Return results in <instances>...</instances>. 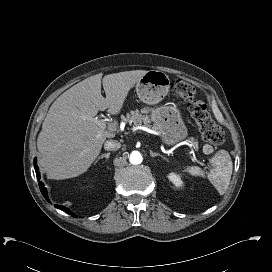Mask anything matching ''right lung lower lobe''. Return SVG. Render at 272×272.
<instances>
[{"label":"right lung lower lobe","mask_w":272,"mask_h":272,"mask_svg":"<svg viewBox=\"0 0 272 272\" xmlns=\"http://www.w3.org/2000/svg\"><path fill=\"white\" fill-rule=\"evenodd\" d=\"M34 167H35V171H36V176H37V179L39 181V186H40V190H41V193L42 195L45 197V199H48V194H47V190L46 188L44 187V184L40 181V173H39V168L37 166V160L36 158L34 159ZM57 208L61 209L62 211H65L66 213L72 215L73 217H77L76 215H74L68 208L64 207V206H61V205H56Z\"/></svg>","instance_id":"1"}]
</instances>
